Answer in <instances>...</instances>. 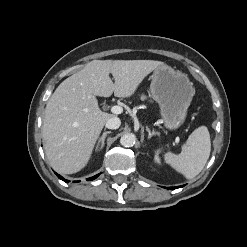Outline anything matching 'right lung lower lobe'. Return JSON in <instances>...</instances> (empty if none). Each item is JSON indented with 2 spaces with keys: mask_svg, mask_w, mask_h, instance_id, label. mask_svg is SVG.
<instances>
[{
  "mask_svg": "<svg viewBox=\"0 0 247 247\" xmlns=\"http://www.w3.org/2000/svg\"><path fill=\"white\" fill-rule=\"evenodd\" d=\"M56 175H57V177L59 178V179H61L62 181H64V182H68V180H66V179H64L62 176H60L59 174H57V173H55ZM98 177V175H95V176H93V177H90V178H88L87 180L88 181H92V180H94V179H96ZM78 182V181H77Z\"/></svg>",
  "mask_w": 247,
  "mask_h": 247,
  "instance_id": "obj_1",
  "label": "right lung lower lobe"
}]
</instances>
